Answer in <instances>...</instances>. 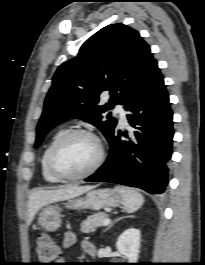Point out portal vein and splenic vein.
Returning <instances> with one entry per match:
<instances>
[{
  "label": "portal vein and splenic vein",
  "mask_w": 205,
  "mask_h": 265,
  "mask_svg": "<svg viewBox=\"0 0 205 265\" xmlns=\"http://www.w3.org/2000/svg\"><path fill=\"white\" fill-rule=\"evenodd\" d=\"M110 222H111V220H110L109 218H106V219H104L102 225H103V226H106V225H108Z\"/></svg>",
  "instance_id": "portal-vein-and-splenic-vein-1"
}]
</instances>
